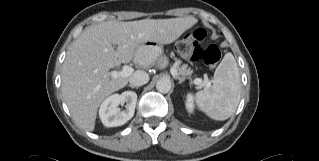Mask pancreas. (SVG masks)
<instances>
[{
	"instance_id": "pancreas-1",
	"label": "pancreas",
	"mask_w": 319,
	"mask_h": 161,
	"mask_svg": "<svg viewBox=\"0 0 319 161\" xmlns=\"http://www.w3.org/2000/svg\"><path fill=\"white\" fill-rule=\"evenodd\" d=\"M180 64H181L180 61H177L174 64V68L177 70L178 75H180L182 78H185V77L190 78L193 73V70L188 68L187 64H183V65H180Z\"/></svg>"
}]
</instances>
